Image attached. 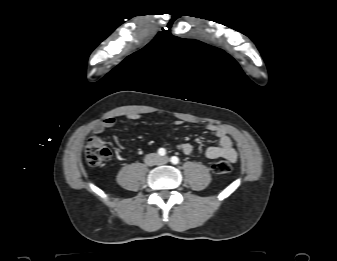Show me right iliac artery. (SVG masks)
I'll return each mask as SVG.
<instances>
[{
    "label": "right iliac artery",
    "instance_id": "82829eb1",
    "mask_svg": "<svg viewBox=\"0 0 337 261\" xmlns=\"http://www.w3.org/2000/svg\"><path fill=\"white\" fill-rule=\"evenodd\" d=\"M158 154H159L160 156H164V155L166 154V150H165L164 148H160V149L158 150Z\"/></svg>",
    "mask_w": 337,
    "mask_h": 261
}]
</instances>
